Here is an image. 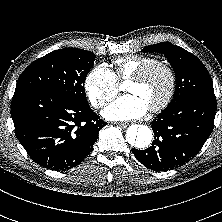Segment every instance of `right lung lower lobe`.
<instances>
[{
  "instance_id": "right-lung-lower-lobe-1",
  "label": "right lung lower lobe",
  "mask_w": 222,
  "mask_h": 222,
  "mask_svg": "<svg viewBox=\"0 0 222 222\" xmlns=\"http://www.w3.org/2000/svg\"><path fill=\"white\" fill-rule=\"evenodd\" d=\"M11 116L15 134L32 160L56 171L79 164L107 124L88 103L40 90L15 91Z\"/></svg>"
}]
</instances>
